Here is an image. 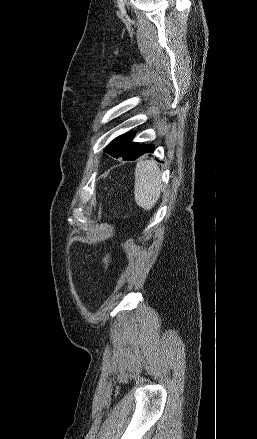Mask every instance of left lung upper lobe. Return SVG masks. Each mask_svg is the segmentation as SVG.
Instances as JSON below:
<instances>
[{"label":"left lung upper lobe","instance_id":"obj_1","mask_svg":"<svg viewBox=\"0 0 257 439\" xmlns=\"http://www.w3.org/2000/svg\"><path fill=\"white\" fill-rule=\"evenodd\" d=\"M134 135V132H128L119 136L118 138L114 139L104 151L115 158H123L124 156L129 155L138 144L131 142V140L134 138Z\"/></svg>","mask_w":257,"mask_h":439}]
</instances>
